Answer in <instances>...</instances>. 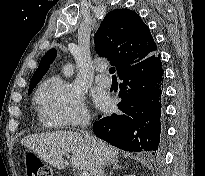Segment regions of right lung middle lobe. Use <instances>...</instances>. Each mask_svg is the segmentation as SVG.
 <instances>
[{"mask_svg":"<svg viewBox=\"0 0 205 176\" xmlns=\"http://www.w3.org/2000/svg\"><path fill=\"white\" fill-rule=\"evenodd\" d=\"M31 91H32V90H29V91H28V94H30Z\"/></svg>","mask_w":205,"mask_h":176,"instance_id":"obj_1","label":"right lung middle lobe"}]
</instances>
